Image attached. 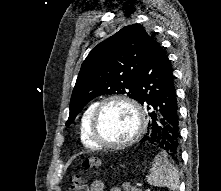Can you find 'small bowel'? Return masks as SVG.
<instances>
[{"label": "small bowel", "mask_w": 221, "mask_h": 191, "mask_svg": "<svg viewBox=\"0 0 221 191\" xmlns=\"http://www.w3.org/2000/svg\"><path fill=\"white\" fill-rule=\"evenodd\" d=\"M105 183L101 180H96L91 183L89 191H104ZM110 191H121L119 188L113 187Z\"/></svg>", "instance_id": "1"}]
</instances>
